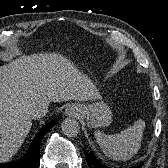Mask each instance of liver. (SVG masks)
<instances>
[{"mask_svg": "<svg viewBox=\"0 0 168 168\" xmlns=\"http://www.w3.org/2000/svg\"><path fill=\"white\" fill-rule=\"evenodd\" d=\"M92 81L57 53L22 56L0 67V163L17 153L40 104L99 99Z\"/></svg>", "mask_w": 168, "mask_h": 168, "instance_id": "obj_1", "label": "liver"}]
</instances>
